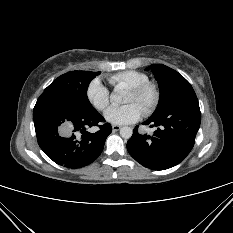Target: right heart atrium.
Returning a JSON list of instances; mask_svg holds the SVG:
<instances>
[{"instance_id": "right-heart-atrium-1", "label": "right heart atrium", "mask_w": 233, "mask_h": 233, "mask_svg": "<svg viewBox=\"0 0 233 233\" xmlns=\"http://www.w3.org/2000/svg\"><path fill=\"white\" fill-rule=\"evenodd\" d=\"M86 96L90 104L98 111L104 110L110 101L109 90L99 79H94L87 87Z\"/></svg>"}]
</instances>
